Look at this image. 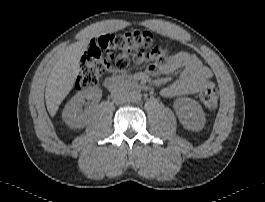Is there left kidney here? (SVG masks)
Listing matches in <instances>:
<instances>
[{
	"instance_id": "1",
	"label": "left kidney",
	"mask_w": 265,
	"mask_h": 202,
	"mask_svg": "<svg viewBox=\"0 0 265 202\" xmlns=\"http://www.w3.org/2000/svg\"><path fill=\"white\" fill-rule=\"evenodd\" d=\"M174 109L180 123L187 130L198 132L205 126V113L197 101L191 98H178L174 102Z\"/></svg>"
}]
</instances>
